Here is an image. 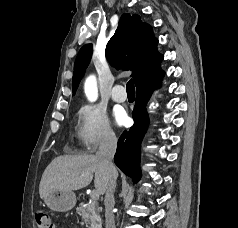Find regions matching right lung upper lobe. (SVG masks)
I'll list each match as a JSON object with an SVG mask.
<instances>
[{
    "mask_svg": "<svg viewBox=\"0 0 238 228\" xmlns=\"http://www.w3.org/2000/svg\"><path fill=\"white\" fill-rule=\"evenodd\" d=\"M158 40L152 27L137 14H123L107 44L108 61L117 68L131 70L135 85L141 84L160 69L164 56L157 51ZM92 55V45H84L75 60L72 79L73 95L83 77Z\"/></svg>",
    "mask_w": 238,
    "mask_h": 228,
    "instance_id": "1",
    "label": "right lung upper lobe"
}]
</instances>
